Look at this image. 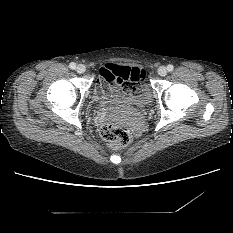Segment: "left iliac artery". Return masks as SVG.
<instances>
[{
	"instance_id": "1",
	"label": "left iliac artery",
	"mask_w": 233,
	"mask_h": 233,
	"mask_svg": "<svg viewBox=\"0 0 233 233\" xmlns=\"http://www.w3.org/2000/svg\"><path fill=\"white\" fill-rule=\"evenodd\" d=\"M167 69H168V71H173V70H174V66L171 65V64H169V65L167 66Z\"/></svg>"
}]
</instances>
